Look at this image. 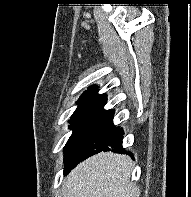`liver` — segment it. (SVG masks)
<instances>
[{"mask_svg": "<svg viewBox=\"0 0 191 197\" xmlns=\"http://www.w3.org/2000/svg\"><path fill=\"white\" fill-rule=\"evenodd\" d=\"M130 157L101 152L80 163L67 176L64 197H137L130 183Z\"/></svg>", "mask_w": 191, "mask_h": 197, "instance_id": "obj_1", "label": "liver"}]
</instances>
